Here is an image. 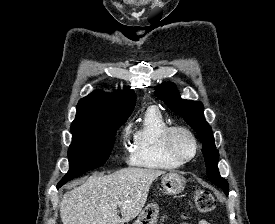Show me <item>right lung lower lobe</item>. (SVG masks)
Returning <instances> with one entry per match:
<instances>
[{
    "label": "right lung lower lobe",
    "instance_id": "obj_1",
    "mask_svg": "<svg viewBox=\"0 0 275 224\" xmlns=\"http://www.w3.org/2000/svg\"><path fill=\"white\" fill-rule=\"evenodd\" d=\"M61 186L57 185V188H60Z\"/></svg>",
    "mask_w": 275,
    "mask_h": 224
}]
</instances>
